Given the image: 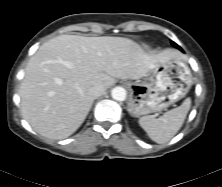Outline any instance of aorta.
<instances>
[{"label":"aorta","instance_id":"762f6f07","mask_svg":"<svg viewBox=\"0 0 222 187\" xmlns=\"http://www.w3.org/2000/svg\"><path fill=\"white\" fill-rule=\"evenodd\" d=\"M111 96L116 101H124L126 99V90L123 87H115L111 92Z\"/></svg>","mask_w":222,"mask_h":187}]
</instances>
